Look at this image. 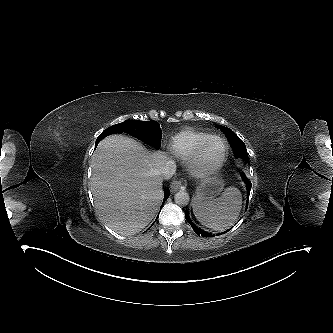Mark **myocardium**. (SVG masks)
I'll list each match as a JSON object with an SVG mask.
<instances>
[{"instance_id":"myocardium-1","label":"myocardium","mask_w":333,"mask_h":333,"mask_svg":"<svg viewBox=\"0 0 333 333\" xmlns=\"http://www.w3.org/2000/svg\"><path fill=\"white\" fill-rule=\"evenodd\" d=\"M213 140H219L223 143L224 145V151L222 156L220 157V159L211 165H205L204 161H203V154L206 150V148L208 147V145L213 141ZM228 143L227 141L220 137V136H210L207 140H205L201 146L197 149V151L195 152V154L189 159L188 162V167L192 173V175L196 178H207L211 175H213L214 173H216L224 164L227 155H228Z\"/></svg>"}]
</instances>
